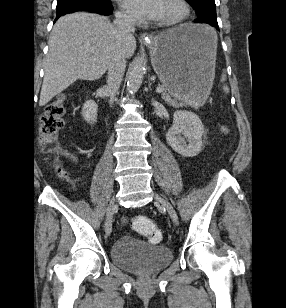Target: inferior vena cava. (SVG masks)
Returning <instances> with one entry per match:
<instances>
[{"label":"inferior vena cava","mask_w":286,"mask_h":308,"mask_svg":"<svg viewBox=\"0 0 286 308\" xmlns=\"http://www.w3.org/2000/svg\"><path fill=\"white\" fill-rule=\"evenodd\" d=\"M115 28L124 36H131L135 31L133 19L125 15H119L114 21ZM126 68V59L122 54L115 55L108 67L107 89L110 94V103H113Z\"/></svg>","instance_id":"obj_1"}]
</instances>
